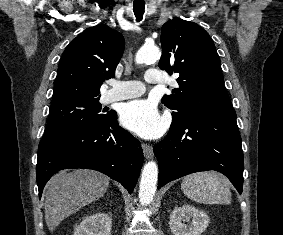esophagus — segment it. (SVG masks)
<instances>
[{"instance_id":"esophagus-1","label":"esophagus","mask_w":283,"mask_h":235,"mask_svg":"<svg viewBox=\"0 0 283 235\" xmlns=\"http://www.w3.org/2000/svg\"><path fill=\"white\" fill-rule=\"evenodd\" d=\"M143 154L146 159L153 157V147L147 143H142Z\"/></svg>"}]
</instances>
